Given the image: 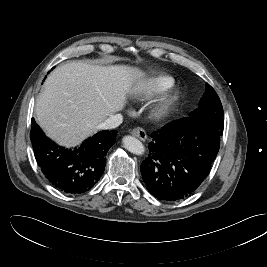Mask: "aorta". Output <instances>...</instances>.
<instances>
[{"instance_id":"1","label":"aorta","mask_w":267,"mask_h":267,"mask_svg":"<svg viewBox=\"0 0 267 267\" xmlns=\"http://www.w3.org/2000/svg\"><path fill=\"white\" fill-rule=\"evenodd\" d=\"M122 142L124 148L133 154L142 155L145 152L142 142L133 136H125Z\"/></svg>"}]
</instances>
